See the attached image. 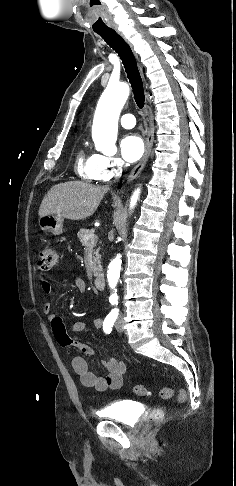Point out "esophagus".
<instances>
[{
  "instance_id": "1",
  "label": "esophagus",
  "mask_w": 236,
  "mask_h": 486,
  "mask_svg": "<svg viewBox=\"0 0 236 486\" xmlns=\"http://www.w3.org/2000/svg\"><path fill=\"white\" fill-rule=\"evenodd\" d=\"M113 29L129 44V46L133 50L132 45L125 38V36L118 29V27H113ZM153 141H154V126H153V123H152L151 118H150V124H149V127H148L147 137H146V140H145V151H144V154H143L141 160L139 161V163L133 168V170L128 175L127 182H130L133 179H135L138 176V174L142 171V169L144 168V166H145V164H146V162H147V160L149 158V155L151 153L152 146H153Z\"/></svg>"
}]
</instances>
